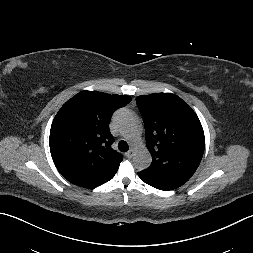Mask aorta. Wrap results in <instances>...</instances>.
Returning a JSON list of instances; mask_svg holds the SVG:
<instances>
[{"label": "aorta", "mask_w": 253, "mask_h": 253, "mask_svg": "<svg viewBox=\"0 0 253 253\" xmlns=\"http://www.w3.org/2000/svg\"><path fill=\"white\" fill-rule=\"evenodd\" d=\"M116 126L128 136L130 142L137 147L134 154V165L138 170L146 169L152 161L150 152L145 148L137 134L136 123L128 111L120 110L114 116Z\"/></svg>", "instance_id": "obj_1"}]
</instances>
